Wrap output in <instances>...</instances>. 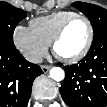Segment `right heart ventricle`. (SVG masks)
I'll return each instance as SVG.
<instances>
[{"instance_id":"1","label":"right heart ventricle","mask_w":107,"mask_h":107,"mask_svg":"<svg viewBox=\"0 0 107 107\" xmlns=\"http://www.w3.org/2000/svg\"><path fill=\"white\" fill-rule=\"evenodd\" d=\"M75 14L77 13L73 11H57L31 20L30 28L42 41L50 45L62 23Z\"/></svg>"}]
</instances>
